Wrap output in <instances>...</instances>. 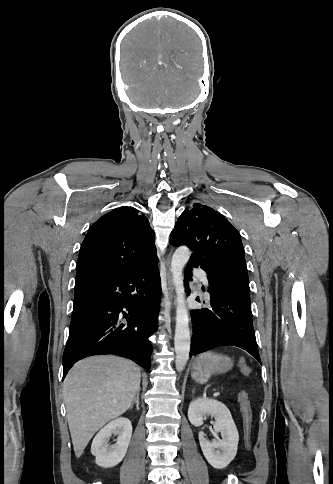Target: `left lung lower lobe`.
Returning a JSON list of instances; mask_svg holds the SVG:
<instances>
[{"mask_svg":"<svg viewBox=\"0 0 333 484\" xmlns=\"http://www.w3.org/2000/svg\"><path fill=\"white\" fill-rule=\"evenodd\" d=\"M198 266L208 274L212 308L192 311L193 337L190 356L218 346L232 345L246 350L261 363L242 250L233 244L218 246L203 256L192 254L185 270L187 289V283L191 280V269ZM196 300L200 302L198 297Z\"/></svg>","mask_w":333,"mask_h":484,"instance_id":"1","label":"left lung lower lobe"}]
</instances>
